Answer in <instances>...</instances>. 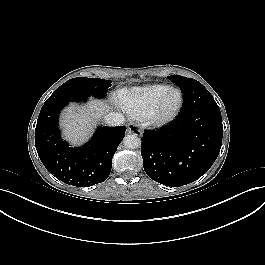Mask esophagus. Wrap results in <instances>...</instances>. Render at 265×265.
<instances>
[{
  "instance_id": "1",
  "label": "esophagus",
  "mask_w": 265,
  "mask_h": 265,
  "mask_svg": "<svg viewBox=\"0 0 265 265\" xmlns=\"http://www.w3.org/2000/svg\"><path fill=\"white\" fill-rule=\"evenodd\" d=\"M127 132L129 134L133 133V134H136L137 135V134H141L142 133V130L139 127H137V125L130 124L128 126Z\"/></svg>"
}]
</instances>
